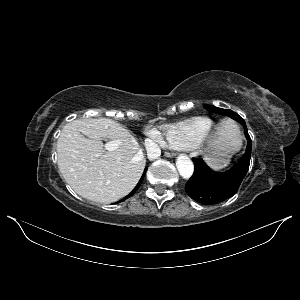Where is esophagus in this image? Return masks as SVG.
Wrapping results in <instances>:
<instances>
[{"instance_id": "obj_1", "label": "esophagus", "mask_w": 300, "mask_h": 300, "mask_svg": "<svg viewBox=\"0 0 300 300\" xmlns=\"http://www.w3.org/2000/svg\"><path fill=\"white\" fill-rule=\"evenodd\" d=\"M165 156H166V157H174L175 154H174V153L166 152V153H165Z\"/></svg>"}]
</instances>
